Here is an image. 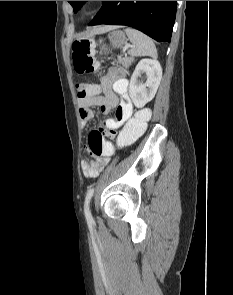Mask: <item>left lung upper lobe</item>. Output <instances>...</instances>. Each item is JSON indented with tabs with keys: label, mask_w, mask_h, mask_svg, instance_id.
<instances>
[{
	"label": "left lung upper lobe",
	"mask_w": 233,
	"mask_h": 295,
	"mask_svg": "<svg viewBox=\"0 0 233 295\" xmlns=\"http://www.w3.org/2000/svg\"><path fill=\"white\" fill-rule=\"evenodd\" d=\"M68 2L72 5L74 12H77L86 1H68Z\"/></svg>",
	"instance_id": "1"
}]
</instances>
